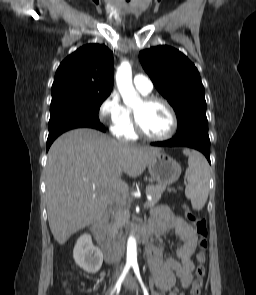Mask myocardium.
<instances>
[{"label": "myocardium", "instance_id": "obj_1", "mask_svg": "<svg viewBox=\"0 0 256 295\" xmlns=\"http://www.w3.org/2000/svg\"><path fill=\"white\" fill-rule=\"evenodd\" d=\"M142 101L145 104H151L156 102L162 104L168 110L170 114L171 127L168 133L165 135H162V136L150 135L142 128V126L140 125L138 121L136 113L132 110V125L136 135H138L139 137L143 139H146L149 141H155V142H161V141H166L170 139L175 134L177 130V126H178L177 116L172 105L166 99L159 96H155V95L144 96L142 98Z\"/></svg>", "mask_w": 256, "mask_h": 295}]
</instances>
